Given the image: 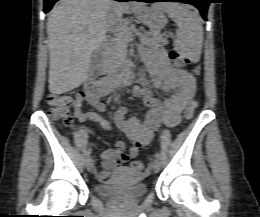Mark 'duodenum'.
<instances>
[{
	"label": "duodenum",
	"mask_w": 260,
	"mask_h": 217,
	"mask_svg": "<svg viewBox=\"0 0 260 217\" xmlns=\"http://www.w3.org/2000/svg\"><path fill=\"white\" fill-rule=\"evenodd\" d=\"M102 53V47L99 46L96 50V59L93 63V67L90 71V74L85 82L84 92L86 94H92L95 92L99 93H107L109 92L114 86L119 83H130L132 81V75L128 70H123L113 78H100L97 79L96 75L98 72V63H100Z\"/></svg>",
	"instance_id": "duodenum-1"
}]
</instances>
